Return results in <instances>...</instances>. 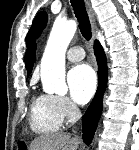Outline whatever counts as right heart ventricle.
<instances>
[{
  "instance_id": "obj_1",
  "label": "right heart ventricle",
  "mask_w": 139,
  "mask_h": 150,
  "mask_svg": "<svg viewBox=\"0 0 139 150\" xmlns=\"http://www.w3.org/2000/svg\"><path fill=\"white\" fill-rule=\"evenodd\" d=\"M63 119L54 96L49 94L33 96L30 104L29 124L34 132L39 134L55 132L62 126Z\"/></svg>"
}]
</instances>
